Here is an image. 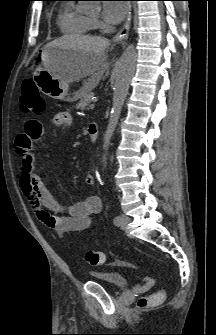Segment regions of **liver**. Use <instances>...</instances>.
<instances>
[{
    "label": "liver",
    "instance_id": "6515ba94",
    "mask_svg": "<svg viewBox=\"0 0 216 335\" xmlns=\"http://www.w3.org/2000/svg\"><path fill=\"white\" fill-rule=\"evenodd\" d=\"M47 46L78 51L64 71L59 74L60 77L67 79L69 82H74L100 70L107 58L105 50L109 46V41L102 37L88 35H66L50 42Z\"/></svg>",
    "mask_w": 216,
    "mask_h": 335
}]
</instances>
